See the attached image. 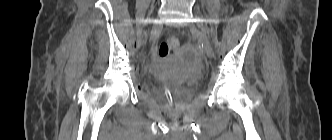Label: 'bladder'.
Masks as SVG:
<instances>
[{
    "label": "bladder",
    "mask_w": 332,
    "mask_h": 140,
    "mask_svg": "<svg viewBox=\"0 0 332 140\" xmlns=\"http://www.w3.org/2000/svg\"><path fill=\"white\" fill-rule=\"evenodd\" d=\"M197 83V79H190L188 80L187 85L184 89H182L178 93H171L172 107L175 110H180L190 100L192 90L197 85ZM155 96L161 105H168V97L164 90L157 89L155 91Z\"/></svg>",
    "instance_id": "obj_1"
}]
</instances>
